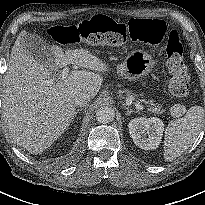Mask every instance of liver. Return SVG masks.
I'll use <instances>...</instances> for the list:
<instances>
[{"instance_id": "obj_1", "label": "liver", "mask_w": 205, "mask_h": 205, "mask_svg": "<svg viewBox=\"0 0 205 205\" xmlns=\"http://www.w3.org/2000/svg\"><path fill=\"white\" fill-rule=\"evenodd\" d=\"M22 31L12 48L6 72L3 115L15 142L31 153H41L64 133L76 113L75 97L81 92L92 98L109 70L101 59L84 49L63 50L50 46L52 59L43 64L26 50ZM68 64L93 70H74L50 86L44 84L53 71ZM96 72V73H95Z\"/></svg>"}]
</instances>
